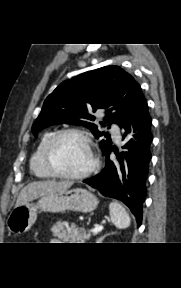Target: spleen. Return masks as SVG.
<instances>
[{
    "label": "spleen",
    "mask_w": 181,
    "mask_h": 288,
    "mask_svg": "<svg viewBox=\"0 0 181 288\" xmlns=\"http://www.w3.org/2000/svg\"><path fill=\"white\" fill-rule=\"evenodd\" d=\"M111 222L118 229H125L130 226L131 218L125 208L118 202H112L109 205Z\"/></svg>",
    "instance_id": "spleen-1"
}]
</instances>
